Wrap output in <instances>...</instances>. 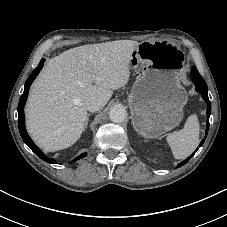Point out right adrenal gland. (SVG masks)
<instances>
[{"label":"right adrenal gland","instance_id":"obj_1","mask_svg":"<svg viewBox=\"0 0 227 227\" xmlns=\"http://www.w3.org/2000/svg\"><path fill=\"white\" fill-rule=\"evenodd\" d=\"M89 116H90V114H88V116H87L86 123H85V128H86V127H87V125H88V122H89Z\"/></svg>","mask_w":227,"mask_h":227}]
</instances>
